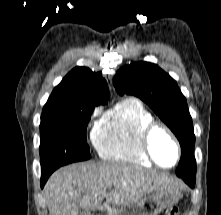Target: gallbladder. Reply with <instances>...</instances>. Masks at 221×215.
<instances>
[{"mask_svg": "<svg viewBox=\"0 0 221 215\" xmlns=\"http://www.w3.org/2000/svg\"><path fill=\"white\" fill-rule=\"evenodd\" d=\"M79 215H89V214H87V213L84 212V211H81V212L79 213Z\"/></svg>", "mask_w": 221, "mask_h": 215, "instance_id": "gallbladder-1", "label": "gallbladder"}]
</instances>
